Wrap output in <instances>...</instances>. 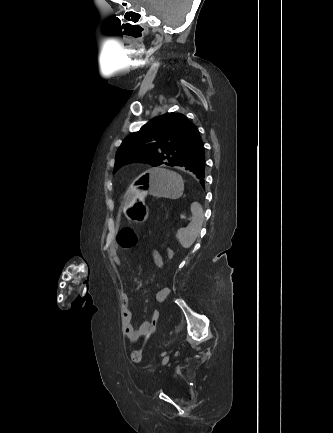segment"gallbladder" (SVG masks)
<instances>
[{"label":"gallbladder","instance_id":"gallbladder-1","mask_svg":"<svg viewBox=\"0 0 333 433\" xmlns=\"http://www.w3.org/2000/svg\"><path fill=\"white\" fill-rule=\"evenodd\" d=\"M101 17H105L106 13L104 11H100Z\"/></svg>","mask_w":333,"mask_h":433}]
</instances>
